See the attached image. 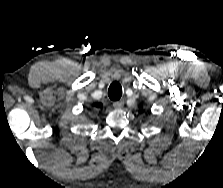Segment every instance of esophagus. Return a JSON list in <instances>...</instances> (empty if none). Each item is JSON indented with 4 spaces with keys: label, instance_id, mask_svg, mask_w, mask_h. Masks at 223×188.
<instances>
[{
    "label": "esophagus",
    "instance_id": "esophagus-1",
    "mask_svg": "<svg viewBox=\"0 0 223 188\" xmlns=\"http://www.w3.org/2000/svg\"><path fill=\"white\" fill-rule=\"evenodd\" d=\"M124 106V100H119L113 103V107L116 109H121Z\"/></svg>",
    "mask_w": 223,
    "mask_h": 188
}]
</instances>
